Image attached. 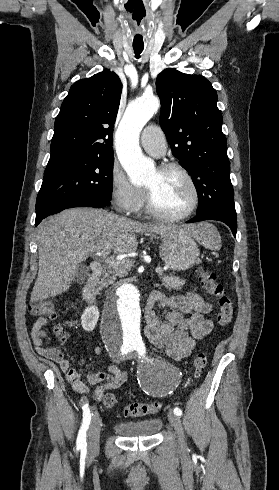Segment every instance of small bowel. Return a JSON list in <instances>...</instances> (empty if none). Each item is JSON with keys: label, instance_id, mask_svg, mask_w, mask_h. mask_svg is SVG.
Masks as SVG:
<instances>
[{"label": "small bowel", "instance_id": "1", "mask_svg": "<svg viewBox=\"0 0 279 490\" xmlns=\"http://www.w3.org/2000/svg\"><path fill=\"white\" fill-rule=\"evenodd\" d=\"M158 308L167 309L164 321L160 318ZM211 310V304L198 294L167 295L154 291L150 294L144 309V334L159 354L173 361H180L191 354L196 347V341L211 333L213 323L205 317ZM184 314L189 317L185 318ZM49 323L50 319L38 318L30 329L31 341L40 356L59 365L75 391L91 394L96 400H100L107 391L119 388L128 380L127 370L112 366L106 371L88 373L87 383L95 386L90 390L62 351L55 347L43 346L44 340L48 338L45 327ZM92 352L95 356H100L103 348L97 345Z\"/></svg>", "mask_w": 279, "mask_h": 490}]
</instances>
